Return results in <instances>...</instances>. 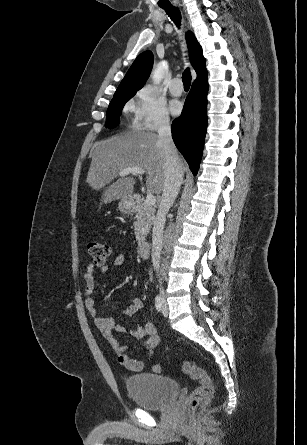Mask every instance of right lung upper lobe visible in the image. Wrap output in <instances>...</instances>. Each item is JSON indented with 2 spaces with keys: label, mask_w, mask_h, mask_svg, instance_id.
I'll use <instances>...</instances> for the list:
<instances>
[{
  "label": "right lung upper lobe",
  "mask_w": 307,
  "mask_h": 445,
  "mask_svg": "<svg viewBox=\"0 0 307 445\" xmlns=\"http://www.w3.org/2000/svg\"><path fill=\"white\" fill-rule=\"evenodd\" d=\"M186 39L190 50L191 62L197 75L204 72L205 58L202 55V48L191 32H187ZM153 65V54L151 51L141 53L133 62L127 74L117 88L111 102L132 97L136 91L142 88Z\"/></svg>",
  "instance_id": "right-lung-upper-lobe-1"
}]
</instances>
